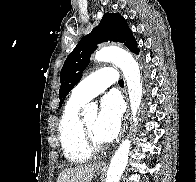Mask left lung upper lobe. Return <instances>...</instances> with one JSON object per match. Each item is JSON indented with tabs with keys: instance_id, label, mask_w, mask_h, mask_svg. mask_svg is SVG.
<instances>
[{
	"instance_id": "1",
	"label": "left lung upper lobe",
	"mask_w": 196,
	"mask_h": 182,
	"mask_svg": "<svg viewBox=\"0 0 196 182\" xmlns=\"http://www.w3.org/2000/svg\"><path fill=\"white\" fill-rule=\"evenodd\" d=\"M108 41L123 43L130 51L139 53L137 42L126 20L119 14L105 13L100 24L79 41L64 62L60 72L59 108L66 95L80 81L83 70L90 62L91 54L97 49V44Z\"/></svg>"
}]
</instances>
